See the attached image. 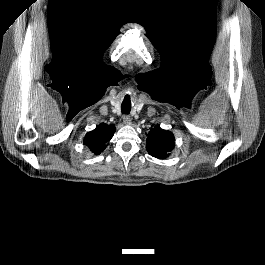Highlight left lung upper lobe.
Masks as SVG:
<instances>
[{
    "label": "left lung upper lobe",
    "mask_w": 265,
    "mask_h": 265,
    "mask_svg": "<svg viewBox=\"0 0 265 265\" xmlns=\"http://www.w3.org/2000/svg\"><path fill=\"white\" fill-rule=\"evenodd\" d=\"M175 146L174 135L156 125L151 128L147 137L146 149L150 155L159 159H165Z\"/></svg>",
    "instance_id": "5c2ea615"
}]
</instances>
